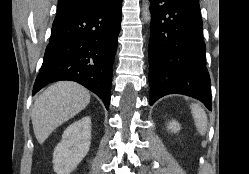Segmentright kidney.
<instances>
[{"label": "right kidney", "mask_w": 249, "mask_h": 174, "mask_svg": "<svg viewBox=\"0 0 249 174\" xmlns=\"http://www.w3.org/2000/svg\"><path fill=\"white\" fill-rule=\"evenodd\" d=\"M91 144V119L86 116L69 125L54 149L53 169L57 174H70L83 160Z\"/></svg>", "instance_id": "right-kidney-1"}]
</instances>
